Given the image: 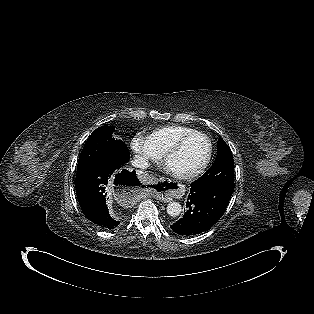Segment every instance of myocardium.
I'll use <instances>...</instances> for the list:
<instances>
[{
	"label": "myocardium",
	"instance_id": "f54148a6",
	"mask_svg": "<svg viewBox=\"0 0 314 314\" xmlns=\"http://www.w3.org/2000/svg\"><path fill=\"white\" fill-rule=\"evenodd\" d=\"M194 136H202L208 142V154H207L205 161L203 162V164L200 167H198L197 169H195L193 171L187 172V173H180V172L174 171L173 169L170 168V165H169L171 158L173 156H175L176 154H178L181 151V149L183 148L185 142ZM213 152H214V146H213L212 139L204 132L194 131V132H191L187 135H184L179 140H177L163 155L162 162H163L165 169L168 172L172 173L174 176H176L180 179L189 180V179L197 178L206 172V170L208 169V167L210 166V164L212 162Z\"/></svg>",
	"mask_w": 314,
	"mask_h": 314
}]
</instances>
